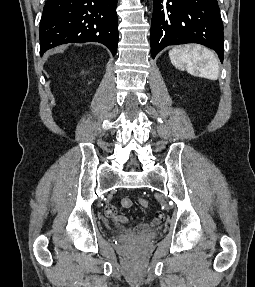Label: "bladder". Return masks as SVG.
<instances>
[{
    "mask_svg": "<svg viewBox=\"0 0 255 287\" xmlns=\"http://www.w3.org/2000/svg\"><path fill=\"white\" fill-rule=\"evenodd\" d=\"M129 231H131V230H130V229H127V228H122V229L116 230L115 232L123 233V232H129Z\"/></svg>",
    "mask_w": 255,
    "mask_h": 287,
    "instance_id": "bladder-1",
    "label": "bladder"
}]
</instances>
